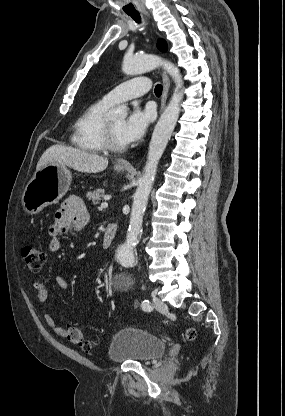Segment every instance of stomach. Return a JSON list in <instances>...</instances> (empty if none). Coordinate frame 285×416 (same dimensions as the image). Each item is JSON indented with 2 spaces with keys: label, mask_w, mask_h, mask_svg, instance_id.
<instances>
[{
  "label": "stomach",
  "mask_w": 285,
  "mask_h": 416,
  "mask_svg": "<svg viewBox=\"0 0 285 416\" xmlns=\"http://www.w3.org/2000/svg\"><path fill=\"white\" fill-rule=\"evenodd\" d=\"M131 170L130 166H120L116 172ZM72 182V174L64 164H47L39 172H35L27 184L21 204L27 214H38L46 206L58 204L65 196Z\"/></svg>",
  "instance_id": "stomach-1"
}]
</instances>
